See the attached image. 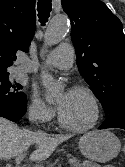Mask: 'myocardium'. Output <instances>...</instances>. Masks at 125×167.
Here are the masks:
<instances>
[{
	"label": "myocardium",
	"instance_id": "f54148a6",
	"mask_svg": "<svg viewBox=\"0 0 125 167\" xmlns=\"http://www.w3.org/2000/svg\"><path fill=\"white\" fill-rule=\"evenodd\" d=\"M71 91L81 92L89 97V99L91 100L93 107H94V116L89 124L82 126V127H76V126H73V125H70L69 123H67L65 121V119L63 118L62 114L59 112V114H58L59 124L62 128L66 129L68 131H71V132H75V133L86 132V131L94 128L96 126L99 118H100L99 100H98L97 96L95 95V93L89 87L84 86V85H75L74 87H72Z\"/></svg>",
	"mask_w": 125,
	"mask_h": 167
}]
</instances>
